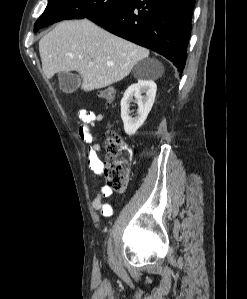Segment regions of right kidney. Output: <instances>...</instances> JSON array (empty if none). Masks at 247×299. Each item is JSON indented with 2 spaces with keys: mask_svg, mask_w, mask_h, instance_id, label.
<instances>
[{
  "mask_svg": "<svg viewBox=\"0 0 247 299\" xmlns=\"http://www.w3.org/2000/svg\"><path fill=\"white\" fill-rule=\"evenodd\" d=\"M156 90V84L153 81L146 80L131 85L125 91L121 100V118L127 135H134L146 120L153 106ZM143 93L146 96H142ZM133 97H135L138 105L137 115L134 118L130 116L131 111L129 110Z\"/></svg>",
  "mask_w": 247,
  "mask_h": 299,
  "instance_id": "ca27d5eb",
  "label": "right kidney"
}]
</instances>
